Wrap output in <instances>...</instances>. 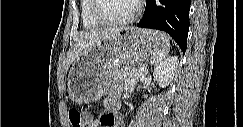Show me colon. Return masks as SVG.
<instances>
[{
	"instance_id": "5ec220e1",
	"label": "colon",
	"mask_w": 243,
	"mask_h": 127,
	"mask_svg": "<svg viewBox=\"0 0 243 127\" xmlns=\"http://www.w3.org/2000/svg\"><path fill=\"white\" fill-rule=\"evenodd\" d=\"M69 121L72 127H84L86 123V117L82 111L77 107H72L68 111Z\"/></svg>"
}]
</instances>
